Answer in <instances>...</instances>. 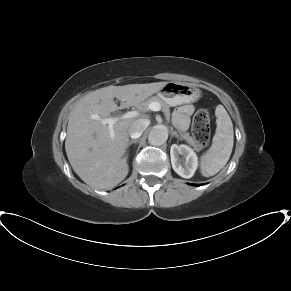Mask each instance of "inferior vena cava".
<instances>
[{
	"label": "inferior vena cava",
	"instance_id": "602c4592",
	"mask_svg": "<svg viewBox=\"0 0 291 291\" xmlns=\"http://www.w3.org/2000/svg\"><path fill=\"white\" fill-rule=\"evenodd\" d=\"M150 121L148 119H138L131 123L128 133L132 139L139 138L143 131L148 127Z\"/></svg>",
	"mask_w": 291,
	"mask_h": 291
}]
</instances>
